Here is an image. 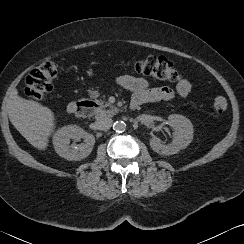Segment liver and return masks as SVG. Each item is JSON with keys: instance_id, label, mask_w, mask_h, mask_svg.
<instances>
[{"instance_id": "liver-1", "label": "liver", "mask_w": 244, "mask_h": 244, "mask_svg": "<svg viewBox=\"0 0 244 244\" xmlns=\"http://www.w3.org/2000/svg\"><path fill=\"white\" fill-rule=\"evenodd\" d=\"M8 115L14 127L31 145L46 149L48 136L55 125L54 114L49 108L14 93L8 101Z\"/></svg>"}]
</instances>
